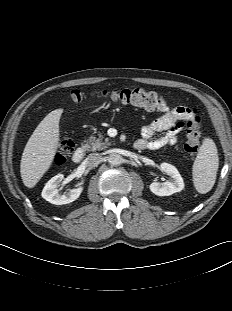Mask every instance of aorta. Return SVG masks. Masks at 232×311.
I'll use <instances>...</instances> for the list:
<instances>
[{
	"instance_id": "762f6f07",
	"label": "aorta",
	"mask_w": 232,
	"mask_h": 311,
	"mask_svg": "<svg viewBox=\"0 0 232 311\" xmlns=\"http://www.w3.org/2000/svg\"><path fill=\"white\" fill-rule=\"evenodd\" d=\"M108 162L110 165L118 166L123 162V158L119 154H110L108 157Z\"/></svg>"
}]
</instances>
